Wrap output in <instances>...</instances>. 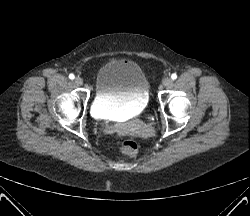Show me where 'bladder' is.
<instances>
[{"label":"bladder","instance_id":"bladder-1","mask_svg":"<svg viewBox=\"0 0 250 216\" xmlns=\"http://www.w3.org/2000/svg\"><path fill=\"white\" fill-rule=\"evenodd\" d=\"M149 101V84L138 64L113 60L97 72L93 113L101 118L121 117L143 111Z\"/></svg>","mask_w":250,"mask_h":216}]
</instances>
